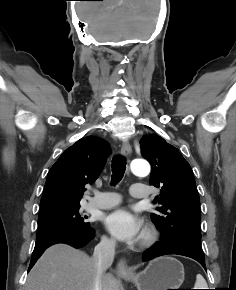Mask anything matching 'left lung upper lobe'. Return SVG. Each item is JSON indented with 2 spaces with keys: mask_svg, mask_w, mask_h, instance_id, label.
Returning <instances> with one entry per match:
<instances>
[{
  "mask_svg": "<svg viewBox=\"0 0 236 290\" xmlns=\"http://www.w3.org/2000/svg\"><path fill=\"white\" fill-rule=\"evenodd\" d=\"M142 156L151 164L150 184L161 187L156 199L162 207L151 214L168 244L187 241L201 248L200 200L193 171L179 150L162 137L149 134L140 140Z\"/></svg>",
  "mask_w": 236,
  "mask_h": 290,
  "instance_id": "obj_1",
  "label": "left lung upper lobe"
}]
</instances>
